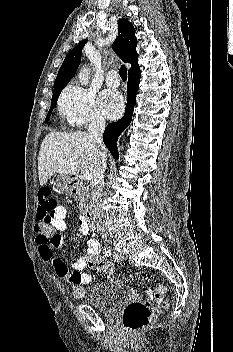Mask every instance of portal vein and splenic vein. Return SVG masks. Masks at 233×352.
Listing matches in <instances>:
<instances>
[{
  "label": "portal vein and splenic vein",
  "mask_w": 233,
  "mask_h": 352,
  "mask_svg": "<svg viewBox=\"0 0 233 352\" xmlns=\"http://www.w3.org/2000/svg\"><path fill=\"white\" fill-rule=\"evenodd\" d=\"M84 178H85V180L90 181L93 177H92V174L90 172H86L84 174Z\"/></svg>",
  "instance_id": "obj_1"
}]
</instances>
